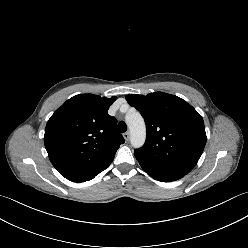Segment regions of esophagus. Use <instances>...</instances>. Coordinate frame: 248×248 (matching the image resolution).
Returning a JSON list of instances; mask_svg holds the SVG:
<instances>
[{
  "instance_id": "esophagus-1",
  "label": "esophagus",
  "mask_w": 248,
  "mask_h": 248,
  "mask_svg": "<svg viewBox=\"0 0 248 248\" xmlns=\"http://www.w3.org/2000/svg\"><path fill=\"white\" fill-rule=\"evenodd\" d=\"M123 137H124V139H125L126 141H128L129 138H130V133H129V132L124 133V134H123Z\"/></svg>"
}]
</instances>
